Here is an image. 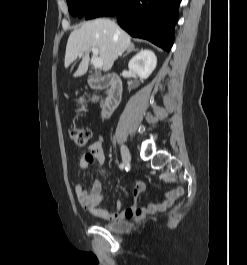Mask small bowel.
I'll return each mask as SVG.
<instances>
[{
    "label": "small bowel",
    "instance_id": "c3829d8e",
    "mask_svg": "<svg viewBox=\"0 0 247 265\" xmlns=\"http://www.w3.org/2000/svg\"><path fill=\"white\" fill-rule=\"evenodd\" d=\"M105 154L103 150V140L98 138L87 149V152L80 159V167L86 169L94 163L103 164ZM135 186L133 190L134 203L125 211H107L99 208L102 199V185L99 180H95L90 190H85L81 184H76L74 187L75 195L81 206L94 216H97L106 221H115L123 219H140L148 214H154L165 210L171 206L182 194L183 189L178 187L167 193L160 202H153L146 207H138L136 201L144 190V185L139 177L135 176ZM117 203V207H118Z\"/></svg>",
    "mask_w": 247,
    "mask_h": 265
}]
</instances>
